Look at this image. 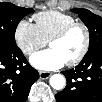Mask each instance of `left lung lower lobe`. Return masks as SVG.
Instances as JSON below:
<instances>
[{"mask_svg":"<svg viewBox=\"0 0 102 102\" xmlns=\"http://www.w3.org/2000/svg\"><path fill=\"white\" fill-rule=\"evenodd\" d=\"M67 86L58 94V102H102V50L86 54L75 69L62 72Z\"/></svg>","mask_w":102,"mask_h":102,"instance_id":"0a47b994","label":"left lung lower lobe"}]
</instances>
